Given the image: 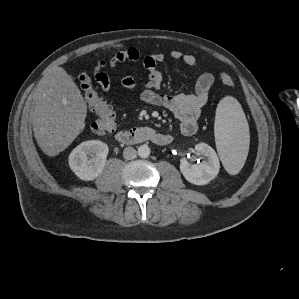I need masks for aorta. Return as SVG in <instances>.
<instances>
[{"label":"aorta","instance_id":"762f6f07","mask_svg":"<svg viewBox=\"0 0 299 299\" xmlns=\"http://www.w3.org/2000/svg\"><path fill=\"white\" fill-rule=\"evenodd\" d=\"M137 153L141 158H147L150 155V148L144 144L138 147Z\"/></svg>","mask_w":299,"mask_h":299}]
</instances>
